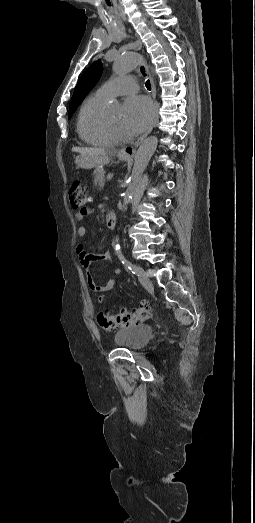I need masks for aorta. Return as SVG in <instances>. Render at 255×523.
Returning <instances> with one entry per match:
<instances>
[{"label":"aorta","mask_w":255,"mask_h":523,"mask_svg":"<svg viewBox=\"0 0 255 523\" xmlns=\"http://www.w3.org/2000/svg\"><path fill=\"white\" fill-rule=\"evenodd\" d=\"M142 62V57L138 53H126L118 57L113 64V71L117 75H124L134 68H136ZM111 109L114 111L119 110V102L115 99L111 103ZM158 144L156 136H150L146 138L139 146L134 159V165L131 175L127 182V189L123 198V209H127V205L130 203L133 193L136 190L143 172L145 171L152 155L154 154ZM118 241V239H116ZM116 254L120 259H124L120 250V245L115 246Z\"/></svg>","instance_id":"obj_1"}]
</instances>
